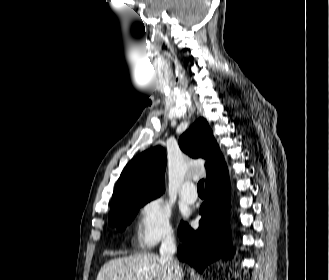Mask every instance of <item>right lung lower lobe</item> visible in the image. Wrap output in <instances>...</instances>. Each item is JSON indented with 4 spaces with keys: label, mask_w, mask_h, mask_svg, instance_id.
Wrapping results in <instances>:
<instances>
[{
    "label": "right lung lower lobe",
    "mask_w": 329,
    "mask_h": 280,
    "mask_svg": "<svg viewBox=\"0 0 329 280\" xmlns=\"http://www.w3.org/2000/svg\"><path fill=\"white\" fill-rule=\"evenodd\" d=\"M205 201L200 208L199 228L193 230L182 222L178 247L179 259L203 272L209 263L220 256L232 257L229 244V177L227 168L206 183Z\"/></svg>",
    "instance_id": "right-lung-lower-lobe-1"
}]
</instances>
